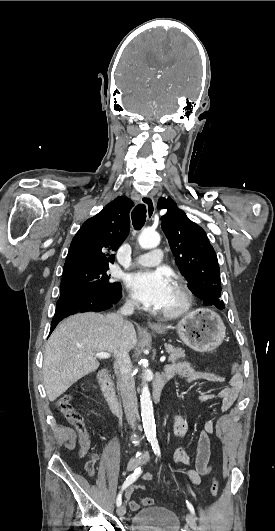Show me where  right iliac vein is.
Returning <instances> with one entry per match:
<instances>
[{"label": "right iliac vein", "mask_w": 275, "mask_h": 531, "mask_svg": "<svg viewBox=\"0 0 275 531\" xmlns=\"http://www.w3.org/2000/svg\"><path fill=\"white\" fill-rule=\"evenodd\" d=\"M138 465H139V459H137V458H135V457H132V458L129 460L128 464H127V470H128L129 472H130V471H133V470H135V469L138 467ZM125 513H126V509H125L124 506H119V507L117 508V514H118V516L122 517V516L125 515Z\"/></svg>", "instance_id": "right-iliac-vein-1"}]
</instances>
